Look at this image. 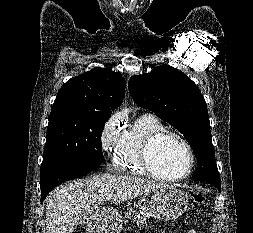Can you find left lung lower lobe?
<instances>
[{
    "mask_svg": "<svg viewBox=\"0 0 253 233\" xmlns=\"http://www.w3.org/2000/svg\"><path fill=\"white\" fill-rule=\"evenodd\" d=\"M205 183H207V184L212 185L213 187H215L218 192L221 191V184H212V183H208V182H205Z\"/></svg>",
    "mask_w": 253,
    "mask_h": 233,
    "instance_id": "1",
    "label": "left lung lower lobe"
}]
</instances>
